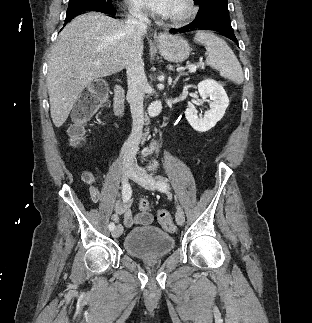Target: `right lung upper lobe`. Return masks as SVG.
<instances>
[{
  "label": "right lung upper lobe",
  "instance_id": "cb5924a9",
  "mask_svg": "<svg viewBox=\"0 0 312 323\" xmlns=\"http://www.w3.org/2000/svg\"><path fill=\"white\" fill-rule=\"evenodd\" d=\"M99 10H104V9H99ZM86 11H93V10H86ZM84 12V11H83Z\"/></svg>",
  "mask_w": 312,
  "mask_h": 323
}]
</instances>
